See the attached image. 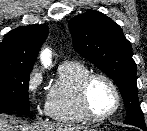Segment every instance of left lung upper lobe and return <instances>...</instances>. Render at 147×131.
<instances>
[{
    "label": "left lung upper lobe",
    "instance_id": "1",
    "mask_svg": "<svg viewBox=\"0 0 147 131\" xmlns=\"http://www.w3.org/2000/svg\"><path fill=\"white\" fill-rule=\"evenodd\" d=\"M74 49L116 83L127 108L125 124L145 126L136 84V63L121 27L104 14L89 10L69 21Z\"/></svg>",
    "mask_w": 147,
    "mask_h": 131
}]
</instances>
